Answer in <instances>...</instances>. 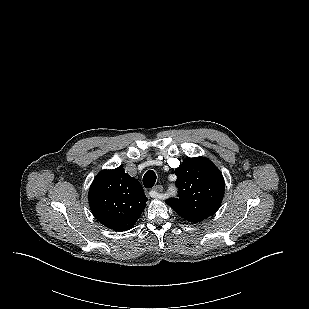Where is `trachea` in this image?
Masks as SVG:
<instances>
[{
    "mask_svg": "<svg viewBox=\"0 0 309 309\" xmlns=\"http://www.w3.org/2000/svg\"><path fill=\"white\" fill-rule=\"evenodd\" d=\"M156 174L154 171L149 170L145 173L144 177H143V184L146 188H151L154 186L155 182H156Z\"/></svg>",
    "mask_w": 309,
    "mask_h": 309,
    "instance_id": "1",
    "label": "trachea"
}]
</instances>
